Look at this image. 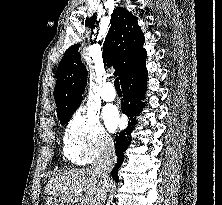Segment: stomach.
Wrapping results in <instances>:
<instances>
[{"label": "stomach", "mask_w": 222, "mask_h": 205, "mask_svg": "<svg viewBox=\"0 0 222 205\" xmlns=\"http://www.w3.org/2000/svg\"><path fill=\"white\" fill-rule=\"evenodd\" d=\"M46 205H66V203L54 195H47Z\"/></svg>", "instance_id": "obj_1"}]
</instances>
